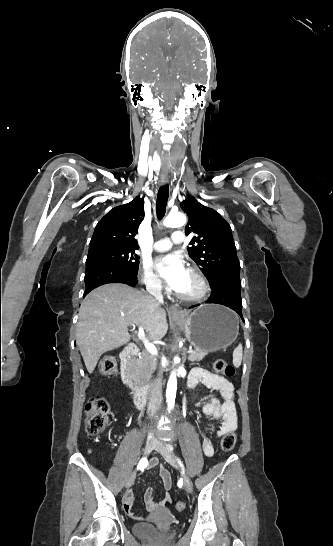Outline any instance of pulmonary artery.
<instances>
[{"instance_id":"1","label":"pulmonary artery","mask_w":333,"mask_h":546,"mask_svg":"<svg viewBox=\"0 0 333 546\" xmlns=\"http://www.w3.org/2000/svg\"><path fill=\"white\" fill-rule=\"evenodd\" d=\"M185 241V234L182 231H175L172 234V238H163L156 241L153 244V249L157 252H164L169 250L173 244H181Z\"/></svg>"}]
</instances>
